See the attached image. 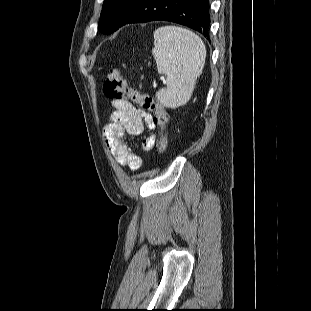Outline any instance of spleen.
Segmentation results:
<instances>
[{
    "label": "spleen",
    "mask_w": 311,
    "mask_h": 311,
    "mask_svg": "<svg viewBox=\"0 0 311 311\" xmlns=\"http://www.w3.org/2000/svg\"><path fill=\"white\" fill-rule=\"evenodd\" d=\"M152 55L158 73L166 75V87L156 93L157 100L172 109L185 105L205 64L203 41L182 27H159L154 32Z\"/></svg>",
    "instance_id": "3e777b00"
}]
</instances>
